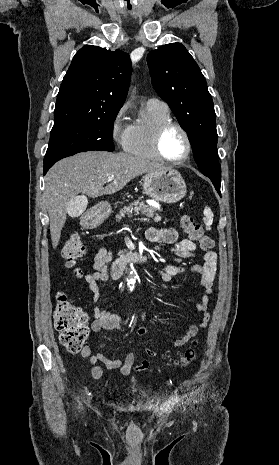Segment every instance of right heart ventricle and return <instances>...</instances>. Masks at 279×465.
<instances>
[{"label":"right heart ventricle","mask_w":279,"mask_h":465,"mask_svg":"<svg viewBox=\"0 0 279 465\" xmlns=\"http://www.w3.org/2000/svg\"><path fill=\"white\" fill-rule=\"evenodd\" d=\"M169 121L172 117L168 106L147 103L131 125L130 138L124 150L136 158L159 161L153 147L154 135L160 125Z\"/></svg>","instance_id":"e07e8e85"}]
</instances>
